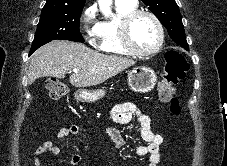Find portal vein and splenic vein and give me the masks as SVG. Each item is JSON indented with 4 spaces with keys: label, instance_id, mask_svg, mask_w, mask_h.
<instances>
[{
    "label": "portal vein and splenic vein",
    "instance_id": "18ae733b",
    "mask_svg": "<svg viewBox=\"0 0 227 166\" xmlns=\"http://www.w3.org/2000/svg\"><path fill=\"white\" fill-rule=\"evenodd\" d=\"M72 71H73V72H77V69H73Z\"/></svg>",
    "mask_w": 227,
    "mask_h": 166
}]
</instances>
